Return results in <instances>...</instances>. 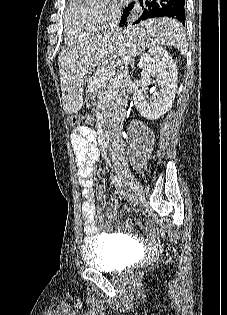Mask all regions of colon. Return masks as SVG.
<instances>
[{"instance_id": "5ec220e1", "label": "colon", "mask_w": 227, "mask_h": 315, "mask_svg": "<svg viewBox=\"0 0 227 315\" xmlns=\"http://www.w3.org/2000/svg\"><path fill=\"white\" fill-rule=\"evenodd\" d=\"M69 125L74 128L80 127V118L76 115L71 116L68 121Z\"/></svg>"}]
</instances>
